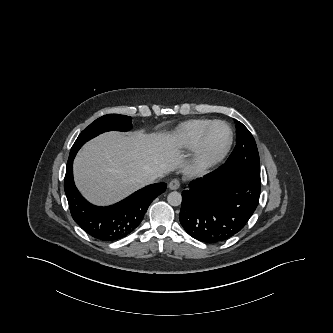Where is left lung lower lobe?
Returning <instances> with one entry per match:
<instances>
[{"mask_svg":"<svg viewBox=\"0 0 333 333\" xmlns=\"http://www.w3.org/2000/svg\"><path fill=\"white\" fill-rule=\"evenodd\" d=\"M260 178L227 162L182 192L180 223L193 238L218 243L238 233L254 213Z\"/></svg>","mask_w":333,"mask_h":333,"instance_id":"left-lung-lower-lobe-1","label":"left lung lower lobe"}]
</instances>
